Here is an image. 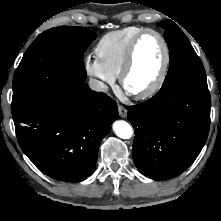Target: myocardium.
Wrapping results in <instances>:
<instances>
[{"instance_id":"1","label":"myocardium","mask_w":221,"mask_h":221,"mask_svg":"<svg viewBox=\"0 0 221 221\" xmlns=\"http://www.w3.org/2000/svg\"><path fill=\"white\" fill-rule=\"evenodd\" d=\"M148 34L155 35L160 40L162 47H163V51H164V58H163V63H162L160 72L156 80L154 81V83L149 88H147L146 90L142 92L133 93L139 99L149 98L155 95L161 89L167 77V73H168L169 65H170V49L164 36L157 30L150 29V28L144 29L132 39V41L130 42L128 46L124 63L119 74V80H120L122 87L127 90L126 79L133 67L137 46L140 40Z\"/></svg>"}]
</instances>
